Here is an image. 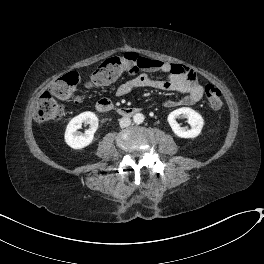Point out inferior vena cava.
<instances>
[{
    "instance_id": "obj_1",
    "label": "inferior vena cava",
    "mask_w": 264,
    "mask_h": 264,
    "mask_svg": "<svg viewBox=\"0 0 264 264\" xmlns=\"http://www.w3.org/2000/svg\"><path fill=\"white\" fill-rule=\"evenodd\" d=\"M120 127L125 128L128 127L131 124V120L128 117H122L119 120Z\"/></svg>"
}]
</instances>
